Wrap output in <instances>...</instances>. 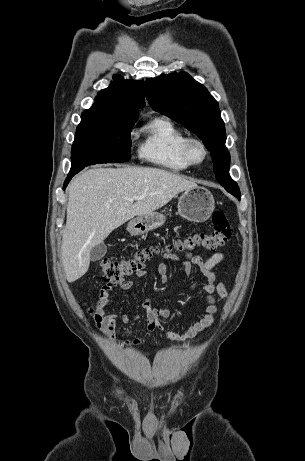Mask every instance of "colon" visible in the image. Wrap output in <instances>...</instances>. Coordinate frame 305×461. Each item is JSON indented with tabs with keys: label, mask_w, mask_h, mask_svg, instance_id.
Masks as SVG:
<instances>
[{
	"label": "colon",
	"mask_w": 305,
	"mask_h": 461,
	"mask_svg": "<svg viewBox=\"0 0 305 461\" xmlns=\"http://www.w3.org/2000/svg\"><path fill=\"white\" fill-rule=\"evenodd\" d=\"M213 230L209 233H195L177 239L168 248L177 252H188L195 249L216 250L223 246L231 236V227L226 215L216 211L212 216ZM155 250L143 248L135 252L131 258H105L100 263V277L104 281L118 282L141 268L154 254Z\"/></svg>",
	"instance_id": "1"
}]
</instances>
